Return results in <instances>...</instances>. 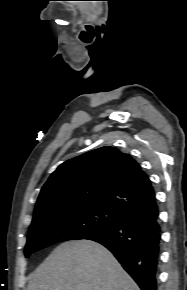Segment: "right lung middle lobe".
<instances>
[{
    "label": "right lung middle lobe",
    "mask_w": 187,
    "mask_h": 290,
    "mask_svg": "<svg viewBox=\"0 0 187 290\" xmlns=\"http://www.w3.org/2000/svg\"><path fill=\"white\" fill-rule=\"evenodd\" d=\"M126 217L115 209L102 205L84 206L43 216L32 224L28 232L25 256L52 244L85 239L114 227Z\"/></svg>",
    "instance_id": "dd1d6c3e"
}]
</instances>
